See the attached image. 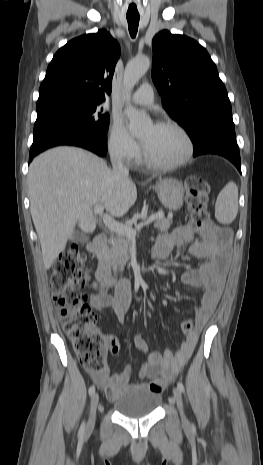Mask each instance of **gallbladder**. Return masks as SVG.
<instances>
[{
    "label": "gallbladder",
    "mask_w": 263,
    "mask_h": 465,
    "mask_svg": "<svg viewBox=\"0 0 263 465\" xmlns=\"http://www.w3.org/2000/svg\"><path fill=\"white\" fill-rule=\"evenodd\" d=\"M70 238L77 243H85L88 240V237L79 231H74Z\"/></svg>",
    "instance_id": "1"
}]
</instances>
